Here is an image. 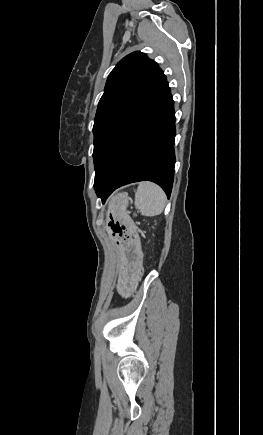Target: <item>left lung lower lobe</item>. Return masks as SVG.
I'll list each match as a JSON object with an SVG mask.
<instances>
[{"label": "left lung lower lobe", "instance_id": "left-lung-lower-lobe-1", "mask_svg": "<svg viewBox=\"0 0 263 435\" xmlns=\"http://www.w3.org/2000/svg\"><path fill=\"white\" fill-rule=\"evenodd\" d=\"M174 102L167 85L125 128L95 174V190L105 203L118 187L149 180L170 197L175 165Z\"/></svg>", "mask_w": 263, "mask_h": 435}]
</instances>
